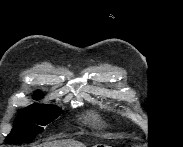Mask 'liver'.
Wrapping results in <instances>:
<instances>
[{"label":"liver","mask_w":183,"mask_h":147,"mask_svg":"<svg viewBox=\"0 0 183 147\" xmlns=\"http://www.w3.org/2000/svg\"><path fill=\"white\" fill-rule=\"evenodd\" d=\"M40 147H85L84 144L77 141H54L44 144Z\"/></svg>","instance_id":"liver-1"}]
</instances>
